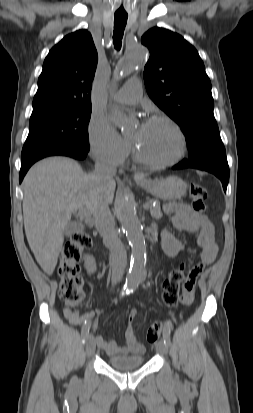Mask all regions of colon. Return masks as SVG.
I'll list each match as a JSON object with an SVG mask.
<instances>
[{
	"label": "colon",
	"mask_w": 253,
	"mask_h": 413,
	"mask_svg": "<svg viewBox=\"0 0 253 413\" xmlns=\"http://www.w3.org/2000/svg\"><path fill=\"white\" fill-rule=\"evenodd\" d=\"M191 206L195 213L205 216L207 190L200 184H192L189 189ZM92 239L89 233L81 231L73 234L65 243L60 261L57 267V275L60 279L59 297L68 309L82 305L86 299L84 281L80 275L79 262L84 249L91 246ZM186 272L184 264L172 269L162 283V300L169 309V315H175V308L181 298L180 283ZM164 325L155 322L147 330V340L155 342L161 335Z\"/></svg>",
	"instance_id": "5ec220e1"
}]
</instances>
